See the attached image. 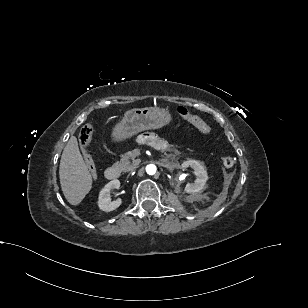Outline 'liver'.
<instances>
[{
	"instance_id": "obj_1",
	"label": "liver",
	"mask_w": 308,
	"mask_h": 308,
	"mask_svg": "<svg viewBox=\"0 0 308 308\" xmlns=\"http://www.w3.org/2000/svg\"><path fill=\"white\" fill-rule=\"evenodd\" d=\"M60 184L66 200L79 204L92 187V176L78 148L77 138L71 136L60 160Z\"/></svg>"
}]
</instances>
